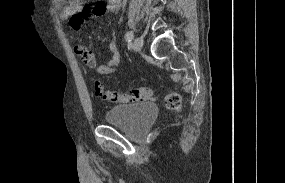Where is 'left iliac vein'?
Listing matches in <instances>:
<instances>
[{"mask_svg":"<svg viewBox=\"0 0 285 183\" xmlns=\"http://www.w3.org/2000/svg\"><path fill=\"white\" fill-rule=\"evenodd\" d=\"M142 46H143V39L141 37H137L132 44V48L135 51L139 52V51H141Z\"/></svg>","mask_w":285,"mask_h":183,"instance_id":"4c4485c4","label":"left iliac vein"}]
</instances>
